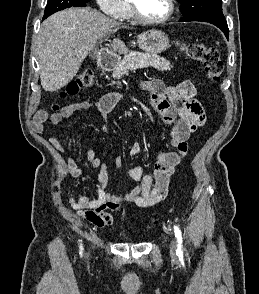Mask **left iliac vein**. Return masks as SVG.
Instances as JSON below:
<instances>
[{"label": "left iliac vein", "mask_w": 259, "mask_h": 294, "mask_svg": "<svg viewBox=\"0 0 259 294\" xmlns=\"http://www.w3.org/2000/svg\"><path fill=\"white\" fill-rule=\"evenodd\" d=\"M176 250H177V243L175 238L172 236L171 237V244H170V252L172 255L176 254Z\"/></svg>", "instance_id": "1"}]
</instances>
